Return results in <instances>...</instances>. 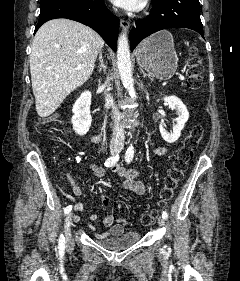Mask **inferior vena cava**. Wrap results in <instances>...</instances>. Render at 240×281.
I'll return each instance as SVG.
<instances>
[{"instance_id":"1","label":"inferior vena cava","mask_w":240,"mask_h":281,"mask_svg":"<svg viewBox=\"0 0 240 281\" xmlns=\"http://www.w3.org/2000/svg\"><path fill=\"white\" fill-rule=\"evenodd\" d=\"M109 87V77L106 82L102 85V88L106 90ZM105 101L108 105L112 106L111 117L114 120L113 135L111 139V144H122L124 142V128L121 126L120 122L123 119V114L119 112L116 107H113V97L108 92H104Z\"/></svg>"}]
</instances>
